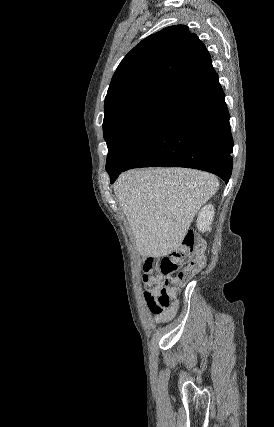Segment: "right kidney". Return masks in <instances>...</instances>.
Segmentation results:
<instances>
[{"instance_id": "ca27d5eb", "label": "right kidney", "mask_w": 274, "mask_h": 427, "mask_svg": "<svg viewBox=\"0 0 274 427\" xmlns=\"http://www.w3.org/2000/svg\"><path fill=\"white\" fill-rule=\"evenodd\" d=\"M213 215H214V208L212 204H208V206H204V208H201L198 217H197V229L199 231H210L211 229V223L213 221Z\"/></svg>"}]
</instances>
